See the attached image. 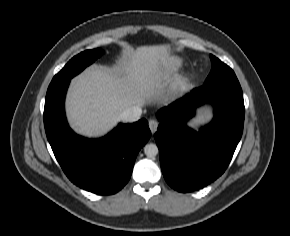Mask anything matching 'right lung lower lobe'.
<instances>
[{
    "label": "right lung lower lobe",
    "instance_id": "1",
    "mask_svg": "<svg viewBox=\"0 0 290 236\" xmlns=\"http://www.w3.org/2000/svg\"><path fill=\"white\" fill-rule=\"evenodd\" d=\"M70 79L48 87L44 126L54 155L66 176L87 191L110 195L121 190L132 174L139 150L151 136L148 122L119 124L101 139H86L68 126L64 99Z\"/></svg>",
    "mask_w": 290,
    "mask_h": 236
}]
</instances>
